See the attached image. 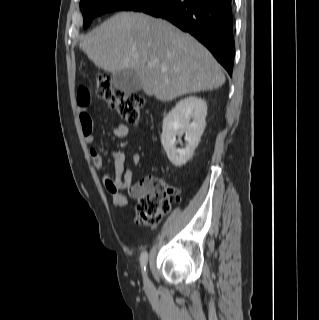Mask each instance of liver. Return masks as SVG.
<instances>
[{
  "mask_svg": "<svg viewBox=\"0 0 319 320\" xmlns=\"http://www.w3.org/2000/svg\"><path fill=\"white\" fill-rule=\"evenodd\" d=\"M80 49L106 72L132 70L145 94L160 101L217 89L225 82L221 65L194 37L143 13L114 15L88 33Z\"/></svg>",
  "mask_w": 319,
  "mask_h": 320,
  "instance_id": "1",
  "label": "liver"
}]
</instances>
